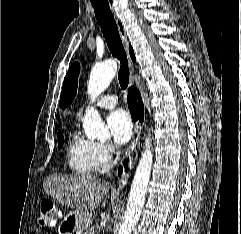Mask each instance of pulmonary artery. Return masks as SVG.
<instances>
[{"mask_svg":"<svg viewBox=\"0 0 241 234\" xmlns=\"http://www.w3.org/2000/svg\"><path fill=\"white\" fill-rule=\"evenodd\" d=\"M118 102L117 96L114 94H105L95 103L96 107L100 108H112L116 106Z\"/></svg>","mask_w":241,"mask_h":234,"instance_id":"obj_1","label":"pulmonary artery"}]
</instances>
